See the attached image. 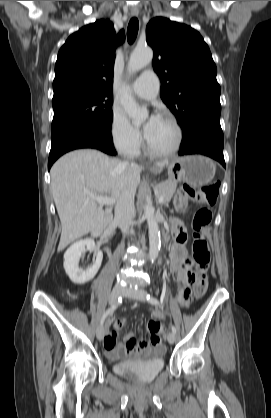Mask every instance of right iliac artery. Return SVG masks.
I'll use <instances>...</instances> for the list:
<instances>
[{
	"mask_svg": "<svg viewBox=\"0 0 271 418\" xmlns=\"http://www.w3.org/2000/svg\"><path fill=\"white\" fill-rule=\"evenodd\" d=\"M122 303V298H119L118 299V301L115 303V304H113L108 310H106L105 312H104V314H103V316H102V318H101V324H103L104 323V321H105V319L107 318V316L109 315V314H112L116 309H117V307L120 305Z\"/></svg>",
	"mask_w": 271,
	"mask_h": 418,
	"instance_id": "82829eb1",
	"label": "right iliac artery"
}]
</instances>
